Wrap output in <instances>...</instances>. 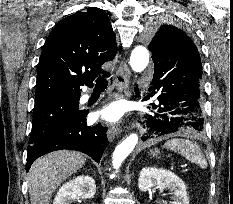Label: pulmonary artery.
I'll return each instance as SVG.
<instances>
[{
	"label": "pulmonary artery",
	"instance_id": "obj_1",
	"mask_svg": "<svg viewBox=\"0 0 233 204\" xmlns=\"http://www.w3.org/2000/svg\"><path fill=\"white\" fill-rule=\"evenodd\" d=\"M88 99H89V95H87V94H84V95H82V97H81V101H82V102H86Z\"/></svg>",
	"mask_w": 233,
	"mask_h": 204
}]
</instances>
